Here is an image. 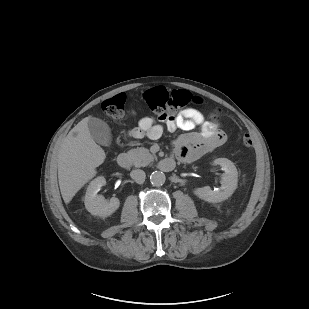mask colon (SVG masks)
<instances>
[{"mask_svg": "<svg viewBox=\"0 0 309 309\" xmlns=\"http://www.w3.org/2000/svg\"><path fill=\"white\" fill-rule=\"evenodd\" d=\"M146 102L152 111H154L158 120L164 122L168 117L172 116V112L176 109L187 106L188 104L200 105L203 100L199 96H194L186 90H167L164 87H156L146 93ZM103 112L110 118L121 120L125 115V97L123 94H117L102 103ZM220 117V111L217 110L214 118ZM242 143L246 148H250L253 144L250 135L245 134L242 137Z\"/></svg>", "mask_w": 309, "mask_h": 309, "instance_id": "obj_1", "label": "colon"}]
</instances>
